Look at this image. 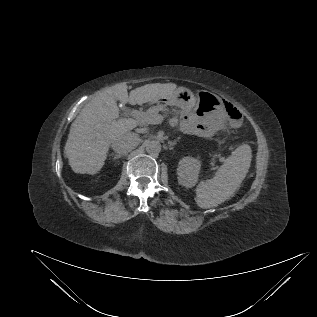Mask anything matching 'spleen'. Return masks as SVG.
I'll return each instance as SVG.
<instances>
[{"label":"spleen","mask_w":317,"mask_h":317,"mask_svg":"<svg viewBox=\"0 0 317 317\" xmlns=\"http://www.w3.org/2000/svg\"><path fill=\"white\" fill-rule=\"evenodd\" d=\"M252 153L249 145L237 147L218 169L215 176L196 187V203L200 208L216 207L227 200L248 173Z\"/></svg>","instance_id":"3e777b00"}]
</instances>
